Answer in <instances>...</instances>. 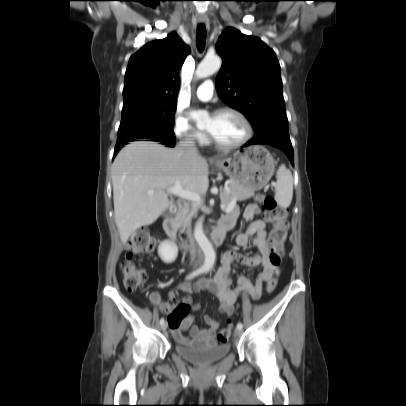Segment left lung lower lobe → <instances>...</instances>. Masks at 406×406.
<instances>
[{
  "label": "left lung lower lobe",
  "instance_id": "obj_1",
  "mask_svg": "<svg viewBox=\"0 0 406 406\" xmlns=\"http://www.w3.org/2000/svg\"><path fill=\"white\" fill-rule=\"evenodd\" d=\"M256 144L273 145L274 147L279 148L288 155L292 165H294L293 148L290 139H283L271 136L254 137L252 140L248 141L243 147Z\"/></svg>",
  "mask_w": 406,
  "mask_h": 406
}]
</instances>
